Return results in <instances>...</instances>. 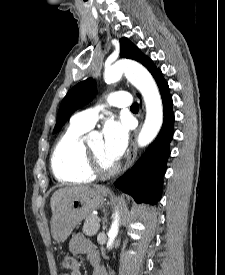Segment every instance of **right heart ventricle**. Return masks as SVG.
<instances>
[{
  "instance_id": "e07e8e85",
  "label": "right heart ventricle",
  "mask_w": 225,
  "mask_h": 275,
  "mask_svg": "<svg viewBox=\"0 0 225 275\" xmlns=\"http://www.w3.org/2000/svg\"><path fill=\"white\" fill-rule=\"evenodd\" d=\"M89 128L71 123L56 142L51 167L54 176L64 183H87L94 175L86 167L83 137Z\"/></svg>"
}]
</instances>
